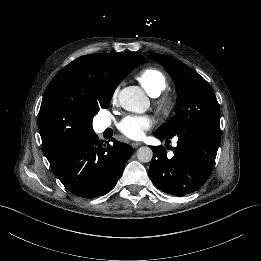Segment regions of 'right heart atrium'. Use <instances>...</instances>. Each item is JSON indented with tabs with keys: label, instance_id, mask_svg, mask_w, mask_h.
Returning a JSON list of instances; mask_svg holds the SVG:
<instances>
[{
	"label": "right heart atrium",
	"instance_id": "d8ad5b80",
	"mask_svg": "<svg viewBox=\"0 0 261 261\" xmlns=\"http://www.w3.org/2000/svg\"><path fill=\"white\" fill-rule=\"evenodd\" d=\"M116 96H117V92H114L113 95H112V100H115Z\"/></svg>",
	"mask_w": 261,
	"mask_h": 261
}]
</instances>
